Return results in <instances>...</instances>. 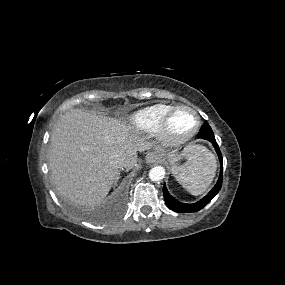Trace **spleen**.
I'll list each match as a JSON object with an SVG mask.
<instances>
[{
  "label": "spleen",
  "instance_id": "1",
  "mask_svg": "<svg viewBox=\"0 0 285 285\" xmlns=\"http://www.w3.org/2000/svg\"><path fill=\"white\" fill-rule=\"evenodd\" d=\"M184 155L187 156L186 163L174 166L172 173L192 195H200L214 178L217 167L215 156L201 145H189Z\"/></svg>",
  "mask_w": 285,
  "mask_h": 285
}]
</instances>
